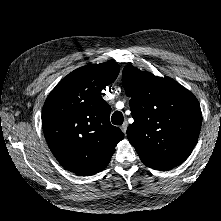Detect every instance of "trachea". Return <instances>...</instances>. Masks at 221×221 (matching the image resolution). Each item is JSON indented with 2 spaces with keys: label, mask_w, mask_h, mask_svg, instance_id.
<instances>
[{
  "label": "trachea",
  "mask_w": 221,
  "mask_h": 221,
  "mask_svg": "<svg viewBox=\"0 0 221 221\" xmlns=\"http://www.w3.org/2000/svg\"><path fill=\"white\" fill-rule=\"evenodd\" d=\"M114 125H121L124 121L123 114L120 111H115L111 117Z\"/></svg>",
  "instance_id": "obj_1"
}]
</instances>
